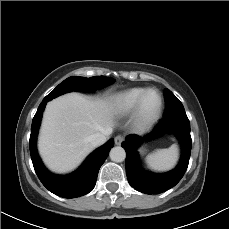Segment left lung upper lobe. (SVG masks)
Masks as SVG:
<instances>
[{"label": "left lung upper lobe", "instance_id": "obj_1", "mask_svg": "<svg viewBox=\"0 0 229 229\" xmlns=\"http://www.w3.org/2000/svg\"><path fill=\"white\" fill-rule=\"evenodd\" d=\"M164 97L166 103L164 117L185 113L182 103L170 90L165 89Z\"/></svg>", "mask_w": 229, "mask_h": 229}]
</instances>
